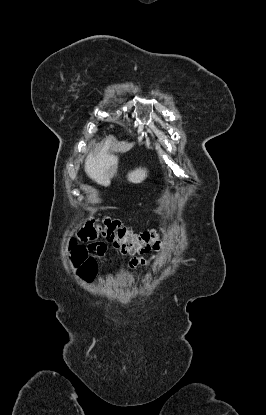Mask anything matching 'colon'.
<instances>
[{
	"instance_id": "5ec220e1",
	"label": "colon",
	"mask_w": 266,
	"mask_h": 415,
	"mask_svg": "<svg viewBox=\"0 0 266 415\" xmlns=\"http://www.w3.org/2000/svg\"><path fill=\"white\" fill-rule=\"evenodd\" d=\"M99 235L124 254H146L158 250L161 245L157 231L147 230L136 233L125 227L118 219L110 217L87 221L78 232V239L85 242ZM70 249L74 265L87 280L91 279L96 271L94 255L89 254L88 248L77 245L75 241L70 243Z\"/></svg>"
}]
</instances>
